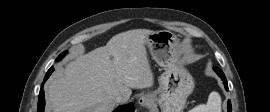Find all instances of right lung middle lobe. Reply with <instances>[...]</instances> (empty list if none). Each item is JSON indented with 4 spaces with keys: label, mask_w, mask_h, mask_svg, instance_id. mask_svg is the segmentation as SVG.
I'll return each mask as SVG.
<instances>
[{
    "label": "right lung middle lobe",
    "mask_w": 270,
    "mask_h": 112,
    "mask_svg": "<svg viewBox=\"0 0 270 112\" xmlns=\"http://www.w3.org/2000/svg\"><path fill=\"white\" fill-rule=\"evenodd\" d=\"M65 55H66V52L61 53V54L58 56L57 61L61 60Z\"/></svg>",
    "instance_id": "obj_1"
}]
</instances>
